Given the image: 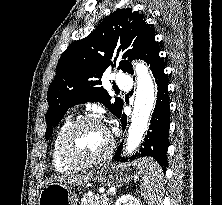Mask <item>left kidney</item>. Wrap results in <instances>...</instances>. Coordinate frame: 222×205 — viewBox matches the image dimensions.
<instances>
[{"label": "left kidney", "mask_w": 222, "mask_h": 205, "mask_svg": "<svg viewBox=\"0 0 222 205\" xmlns=\"http://www.w3.org/2000/svg\"><path fill=\"white\" fill-rule=\"evenodd\" d=\"M115 205H142V203L139 199L133 197L130 194H127L119 197L116 200Z\"/></svg>", "instance_id": "obj_1"}]
</instances>
